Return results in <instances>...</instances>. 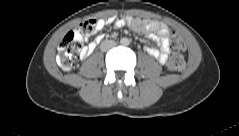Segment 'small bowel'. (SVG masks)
<instances>
[{"mask_svg": "<svg viewBox=\"0 0 239 136\" xmlns=\"http://www.w3.org/2000/svg\"><path fill=\"white\" fill-rule=\"evenodd\" d=\"M106 23L107 22L105 20H98L97 30H102ZM126 24H128L134 31L142 33L155 41L159 48L157 49L151 46H146V51L161 64H165L167 62L168 56L170 54V31L164 23L132 17H119L113 23L115 28H121ZM102 38V35H98L92 41H89L88 38L82 39L84 42H86V45L81 50V57H88L95 50Z\"/></svg>", "mask_w": 239, "mask_h": 136, "instance_id": "1", "label": "small bowel"}]
</instances>
